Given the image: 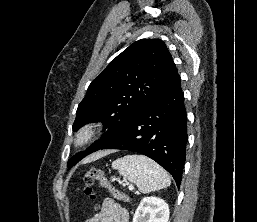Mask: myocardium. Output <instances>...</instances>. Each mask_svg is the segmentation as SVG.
I'll list each match as a JSON object with an SVG mask.
<instances>
[{
  "mask_svg": "<svg viewBox=\"0 0 257 222\" xmlns=\"http://www.w3.org/2000/svg\"><path fill=\"white\" fill-rule=\"evenodd\" d=\"M99 125L95 122L85 124L78 131L75 133L73 139V145L75 147L81 148L85 147L86 145L90 144L93 139L96 137Z\"/></svg>",
  "mask_w": 257,
  "mask_h": 222,
  "instance_id": "obj_1",
  "label": "myocardium"
}]
</instances>
